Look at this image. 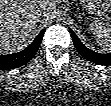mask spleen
<instances>
[{"instance_id":"3e777b00","label":"spleen","mask_w":111,"mask_h":106,"mask_svg":"<svg viewBox=\"0 0 111 106\" xmlns=\"http://www.w3.org/2000/svg\"><path fill=\"white\" fill-rule=\"evenodd\" d=\"M90 31L96 37L99 45L105 50L111 52V23L94 21L90 24Z\"/></svg>"}]
</instances>
